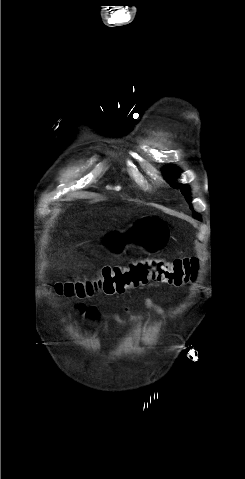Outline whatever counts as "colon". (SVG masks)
<instances>
[{"label":"colon","mask_w":245,"mask_h":479,"mask_svg":"<svg viewBox=\"0 0 245 479\" xmlns=\"http://www.w3.org/2000/svg\"><path fill=\"white\" fill-rule=\"evenodd\" d=\"M198 268L199 261L194 257L174 260L139 258L124 266H104L92 278L58 282L54 290L59 295L84 298L97 293H123L150 282L181 286L195 279Z\"/></svg>","instance_id":"obj_1"}]
</instances>
